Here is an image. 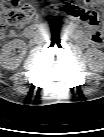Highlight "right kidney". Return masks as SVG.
Segmentation results:
<instances>
[{"instance_id": "obj_1", "label": "right kidney", "mask_w": 104, "mask_h": 137, "mask_svg": "<svg viewBox=\"0 0 104 137\" xmlns=\"http://www.w3.org/2000/svg\"><path fill=\"white\" fill-rule=\"evenodd\" d=\"M16 48L20 49L19 56L11 57ZM26 52V43L21 39H14L5 44L0 52V65L7 70H15L19 67Z\"/></svg>"}]
</instances>
